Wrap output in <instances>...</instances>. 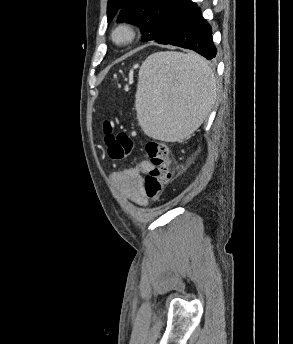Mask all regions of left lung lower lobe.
I'll list each match as a JSON object with an SVG mask.
<instances>
[{
	"instance_id": "obj_1",
	"label": "left lung lower lobe",
	"mask_w": 293,
	"mask_h": 344,
	"mask_svg": "<svg viewBox=\"0 0 293 344\" xmlns=\"http://www.w3.org/2000/svg\"><path fill=\"white\" fill-rule=\"evenodd\" d=\"M159 43L194 50L208 60L213 59L217 53L211 27L194 2L172 33Z\"/></svg>"
}]
</instances>
